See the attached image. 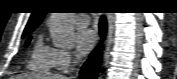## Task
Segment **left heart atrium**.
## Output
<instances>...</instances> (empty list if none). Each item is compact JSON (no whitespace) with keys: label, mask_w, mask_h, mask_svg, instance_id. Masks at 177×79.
<instances>
[{"label":"left heart atrium","mask_w":177,"mask_h":79,"mask_svg":"<svg viewBox=\"0 0 177 79\" xmlns=\"http://www.w3.org/2000/svg\"><path fill=\"white\" fill-rule=\"evenodd\" d=\"M96 36L92 29L82 28L75 35V48L79 57L85 56L95 45Z\"/></svg>","instance_id":"1"}]
</instances>
